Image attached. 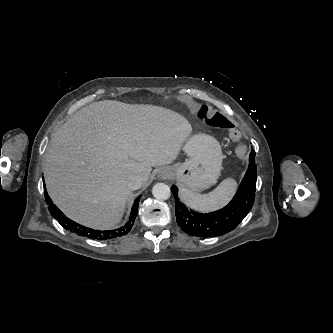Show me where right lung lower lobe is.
<instances>
[{
    "mask_svg": "<svg viewBox=\"0 0 333 333\" xmlns=\"http://www.w3.org/2000/svg\"><path fill=\"white\" fill-rule=\"evenodd\" d=\"M45 187V185H44ZM46 203L48 204L49 211L51 215L58 220V222L66 229L73 233H76L79 236L88 237L91 239L97 240H108L116 237H120L126 235L132 228L134 224V220L138 213V205L140 196L136 198L134 201V205L132 207L131 216L129 221L123 226L116 230H108V231H100L94 230L91 228H87L82 226L69 218H67L57 207L55 204L52 203V200L48 196L47 192H44Z\"/></svg>",
    "mask_w": 333,
    "mask_h": 333,
    "instance_id": "98d812e1",
    "label": "right lung lower lobe"
}]
</instances>
